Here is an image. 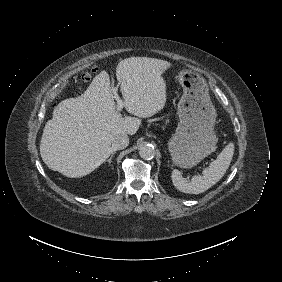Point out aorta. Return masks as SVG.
<instances>
[{
    "mask_svg": "<svg viewBox=\"0 0 282 282\" xmlns=\"http://www.w3.org/2000/svg\"><path fill=\"white\" fill-rule=\"evenodd\" d=\"M139 155L141 158L145 160H150L154 158V156L156 155V151L152 145L144 144L139 149Z\"/></svg>",
    "mask_w": 282,
    "mask_h": 282,
    "instance_id": "762f6f07",
    "label": "aorta"
}]
</instances>
